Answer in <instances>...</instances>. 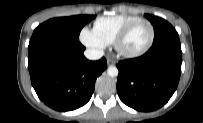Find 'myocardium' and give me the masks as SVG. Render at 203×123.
<instances>
[{
    "label": "myocardium",
    "mask_w": 203,
    "mask_h": 123,
    "mask_svg": "<svg viewBox=\"0 0 203 123\" xmlns=\"http://www.w3.org/2000/svg\"><path fill=\"white\" fill-rule=\"evenodd\" d=\"M139 23H146L151 31L150 38L148 43L140 50L134 51V52H129L123 49L122 45L128 34L131 32V30L134 28ZM155 40V27L153 24L147 20V19H137L130 24H128L126 27H124L121 32L117 35L113 42V46L117 54L123 58H136L144 55L148 50L152 47L153 43Z\"/></svg>",
    "instance_id": "obj_1"
}]
</instances>
